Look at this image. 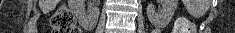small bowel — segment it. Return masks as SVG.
<instances>
[{"label":"small bowel","instance_id":"c3829d8e","mask_svg":"<svg viewBox=\"0 0 235 33\" xmlns=\"http://www.w3.org/2000/svg\"><path fill=\"white\" fill-rule=\"evenodd\" d=\"M160 32V30L159 29H156L155 31H154V33H159Z\"/></svg>","mask_w":235,"mask_h":33}]
</instances>
